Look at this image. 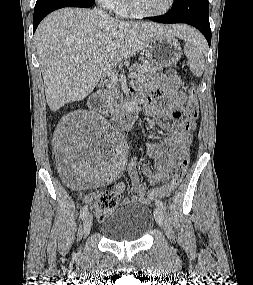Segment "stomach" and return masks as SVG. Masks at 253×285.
I'll use <instances>...</instances> for the list:
<instances>
[{
  "mask_svg": "<svg viewBox=\"0 0 253 285\" xmlns=\"http://www.w3.org/2000/svg\"><path fill=\"white\" fill-rule=\"evenodd\" d=\"M143 52L152 65L166 68L176 65L182 56L179 42L168 34L150 39Z\"/></svg>",
  "mask_w": 253,
  "mask_h": 285,
  "instance_id": "1",
  "label": "stomach"
}]
</instances>
